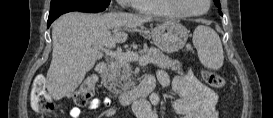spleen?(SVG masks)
<instances>
[{
	"label": "spleen",
	"instance_id": "1",
	"mask_svg": "<svg viewBox=\"0 0 273 118\" xmlns=\"http://www.w3.org/2000/svg\"><path fill=\"white\" fill-rule=\"evenodd\" d=\"M193 44L204 67L218 70L222 67L223 47L218 34L208 26L200 25L193 33Z\"/></svg>",
	"mask_w": 273,
	"mask_h": 118
}]
</instances>
